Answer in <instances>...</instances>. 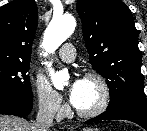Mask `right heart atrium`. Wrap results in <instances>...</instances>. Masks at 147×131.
<instances>
[{
	"label": "right heart atrium",
	"mask_w": 147,
	"mask_h": 131,
	"mask_svg": "<svg viewBox=\"0 0 147 131\" xmlns=\"http://www.w3.org/2000/svg\"><path fill=\"white\" fill-rule=\"evenodd\" d=\"M39 111L49 117H60L65 113L66 106L61 96L45 81L36 79L33 84Z\"/></svg>",
	"instance_id": "obj_1"
}]
</instances>
